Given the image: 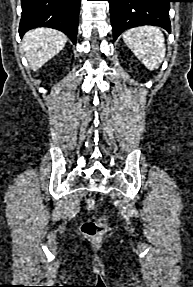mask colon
I'll list each match as a JSON object with an SVG mask.
<instances>
[{
	"mask_svg": "<svg viewBox=\"0 0 193 287\" xmlns=\"http://www.w3.org/2000/svg\"><path fill=\"white\" fill-rule=\"evenodd\" d=\"M88 210L94 209V202L91 199L86 201ZM107 229V218L105 215L98 214L93 219L85 221L81 225L82 233L91 239H99L103 236Z\"/></svg>",
	"mask_w": 193,
	"mask_h": 287,
	"instance_id": "1",
	"label": "colon"
}]
</instances>
